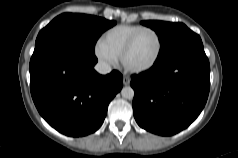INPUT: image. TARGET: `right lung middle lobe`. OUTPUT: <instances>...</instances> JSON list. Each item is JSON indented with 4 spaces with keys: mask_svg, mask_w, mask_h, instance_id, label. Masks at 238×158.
Instances as JSON below:
<instances>
[{
    "mask_svg": "<svg viewBox=\"0 0 238 158\" xmlns=\"http://www.w3.org/2000/svg\"><path fill=\"white\" fill-rule=\"evenodd\" d=\"M115 24V21L97 16L63 13L39 32L35 46L50 38H62L88 53H94L97 39Z\"/></svg>",
    "mask_w": 238,
    "mask_h": 158,
    "instance_id": "dd1d6c3e",
    "label": "right lung middle lobe"
}]
</instances>
